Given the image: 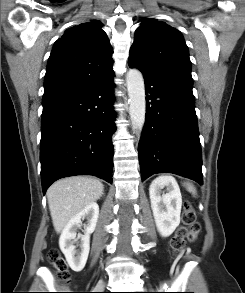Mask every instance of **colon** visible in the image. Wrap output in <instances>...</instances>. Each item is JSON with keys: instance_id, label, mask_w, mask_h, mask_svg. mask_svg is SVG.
<instances>
[{"instance_id": "5ec220e1", "label": "colon", "mask_w": 245, "mask_h": 293, "mask_svg": "<svg viewBox=\"0 0 245 293\" xmlns=\"http://www.w3.org/2000/svg\"><path fill=\"white\" fill-rule=\"evenodd\" d=\"M200 232V224L195 219V212L190 202L183 203V225L180 226L172 240L171 247L176 254H180L186 241H194ZM50 263L58 270L57 278L62 283L70 281V274L66 269L65 260L60 255L59 251L52 249L48 252Z\"/></svg>"}]
</instances>
